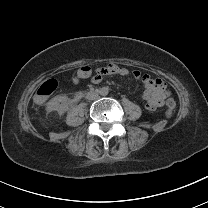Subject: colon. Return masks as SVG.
<instances>
[{
    "label": "colon",
    "instance_id": "5ec220e1",
    "mask_svg": "<svg viewBox=\"0 0 208 208\" xmlns=\"http://www.w3.org/2000/svg\"><path fill=\"white\" fill-rule=\"evenodd\" d=\"M92 72L93 70L88 66L81 67L80 70L78 71V75L74 76L73 82L75 84H78L80 82V79L89 78ZM57 88H58V83L56 80L54 79L47 80L43 85L39 87L38 91L36 92L35 94L36 101L39 103L46 102L48 97L52 95L57 90ZM166 107H167L166 116L168 118H171L176 107V102L172 98H169L166 101Z\"/></svg>",
    "mask_w": 208,
    "mask_h": 208
}]
</instances>
